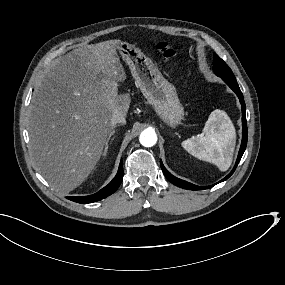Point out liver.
<instances>
[{"label":"liver","instance_id":"liver-1","mask_svg":"<svg viewBox=\"0 0 285 285\" xmlns=\"http://www.w3.org/2000/svg\"><path fill=\"white\" fill-rule=\"evenodd\" d=\"M119 41L77 48L57 59L36 85L28 116L36 168L62 194L81 185L102 157L115 112L131 97L118 94L126 73Z\"/></svg>","mask_w":285,"mask_h":285}]
</instances>
